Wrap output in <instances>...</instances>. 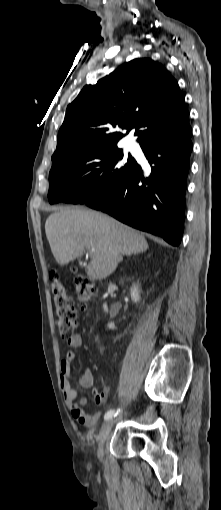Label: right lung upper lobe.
<instances>
[{
	"instance_id": "cb5924a9",
	"label": "right lung upper lobe",
	"mask_w": 221,
	"mask_h": 510,
	"mask_svg": "<svg viewBox=\"0 0 221 510\" xmlns=\"http://www.w3.org/2000/svg\"><path fill=\"white\" fill-rule=\"evenodd\" d=\"M189 125L185 99L163 65L149 58L131 60L96 85H86L67 107L52 166L65 156L117 145L136 129L137 141L179 131Z\"/></svg>"
}]
</instances>
